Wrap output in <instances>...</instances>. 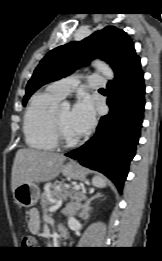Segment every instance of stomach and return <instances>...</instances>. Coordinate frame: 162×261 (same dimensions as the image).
Masks as SVG:
<instances>
[{"label":"stomach","mask_w":162,"mask_h":261,"mask_svg":"<svg viewBox=\"0 0 162 261\" xmlns=\"http://www.w3.org/2000/svg\"><path fill=\"white\" fill-rule=\"evenodd\" d=\"M61 172L64 176L73 179H84L86 174L85 170L75 162H69L62 166ZM13 197L17 204L29 208L37 203L40 189L34 183H23L15 188Z\"/></svg>","instance_id":"0dacf381"}]
</instances>
